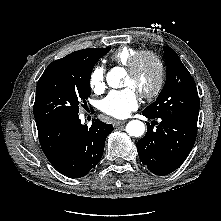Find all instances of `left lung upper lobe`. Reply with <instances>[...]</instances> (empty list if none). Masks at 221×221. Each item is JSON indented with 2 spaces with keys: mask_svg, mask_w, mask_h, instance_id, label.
Instances as JSON below:
<instances>
[{
  "mask_svg": "<svg viewBox=\"0 0 221 221\" xmlns=\"http://www.w3.org/2000/svg\"><path fill=\"white\" fill-rule=\"evenodd\" d=\"M164 51L167 60L165 85L157 100L143 112L152 118L197 122L200 101L194 79L170 47L164 46Z\"/></svg>",
  "mask_w": 221,
  "mask_h": 221,
  "instance_id": "1",
  "label": "left lung upper lobe"
}]
</instances>
